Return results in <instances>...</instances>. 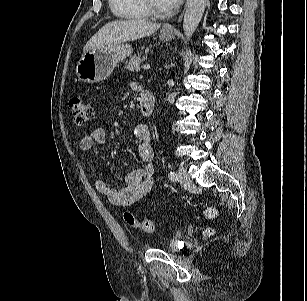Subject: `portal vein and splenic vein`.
<instances>
[{
  "mask_svg": "<svg viewBox=\"0 0 307 301\" xmlns=\"http://www.w3.org/2000/svg\"><path fill=\"white\" fill-rule=\"evenodd\" d=\"M143 69L145 70H149L150 69V65L149 64H145L142 66Z\"/></svg>",
  "mask_w": 307,
  "mask_h": 301,
  "instance_id": "portal-vein-and-splenic-vein-1",
  "label": "portal vein and splenic vein"
}]
</instances>
